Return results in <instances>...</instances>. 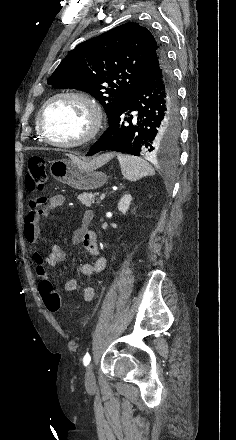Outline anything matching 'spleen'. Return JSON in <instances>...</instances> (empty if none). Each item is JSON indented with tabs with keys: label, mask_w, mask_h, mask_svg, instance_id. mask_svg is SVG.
<instances>
[{
	"label": "spleen",
	"mask_w": 236,
	"mask_h": 440,
	"mask_svg": "<svg viewBox=\"0 0 236 440\" xmlns=\"http://www.w3.org/2000/svg\"><path fill=\"white\" fill-rule=\"evenodd\" d=\"M117 158L123 176L130 181H137L155 173L153 167L140 157L118 154Z\"/></svg>",
	"instance_id": "spleen-1"
}]
</instances>
